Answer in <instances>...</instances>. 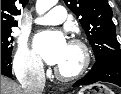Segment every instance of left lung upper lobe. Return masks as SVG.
Here are the masks:
<instances>
[{"mask_svg":"<svg viewBox=\"0 0 121 94\" xmlns=\"http://www.w3.org/2000/svg\"><path fill=\"white\" fill-rule=\"evenodd\" d=\"M68 8L80 17V23L89 40L96 60L121 58L108 0H64Z\"/></svg>","mask_w":121,"mask_h":94,"instance_id":"1","label":"left lung upper lobe"}]
</instances>
